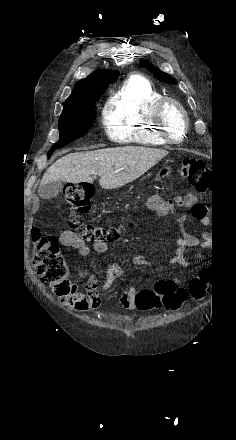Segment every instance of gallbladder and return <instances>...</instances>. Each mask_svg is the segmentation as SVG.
I'll list each match as a JSON object with an SVG mask.
<instances>
[{"label":"gallbladder","mask_w":236,"mask_h":440,"mask_svg":"<svg viewBox=\"0 0 236 440\" xmlns=\"http://www.w3.org/2000/svg\"><path fill=\"white\" fill-rule=\"evenodd\" d=\"M62 187L63 185L61 181L50 182L42 185L39 188V196L44 200H51L58 196L62 190Z\"/></svg>","instance_id":"gallbladder-1"}]
</instances>
